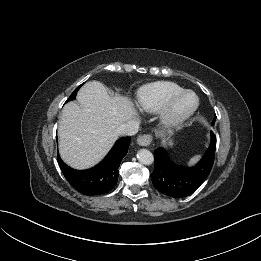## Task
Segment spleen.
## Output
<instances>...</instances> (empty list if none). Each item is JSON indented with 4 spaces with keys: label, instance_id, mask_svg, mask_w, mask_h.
<instances>
[{
    "label": "spleen",
    "instance_id": "3e777b00",
    "mask_svg": "<svg viewBox=\"0 0 261 261\" xmlns=\"http://www.w3.org/2000/svg\"><path fill=\"white\" fill-rule=\"evenodd\" d=\"M199 158H200V155H196V156L192 157L189 161V165L195 164L199 160Z\"/></svg>",
    "mask_w": 261,
    "mask_h": 261
}]
</instances>
